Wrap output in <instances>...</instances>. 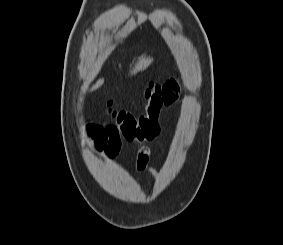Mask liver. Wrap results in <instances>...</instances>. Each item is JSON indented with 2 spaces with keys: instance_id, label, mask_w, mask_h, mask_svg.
<instances>
[{
  "instance_id": "6515ba94",
  "label": "liver",
  "mask_w": 283,
  "mask_h": 245,
  "mask_svg": "<svg viewBox=\"0 0 283 245\" xmlns=\"http://www.w3.org/2000/svg\"><path fill=\"white\" fill-rule=\"evenodd\" d=\"M153 62V58L142 56L139 58L138 62L135 64V67L131 70V75H135L140 71H144L151 63ZM104 83V79H99L95 85L91 88V90H96L102 86Z\"/></svg>"
}]
</instances>
